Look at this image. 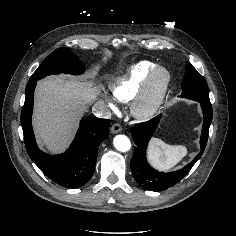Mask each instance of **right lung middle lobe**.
Segmentation results:
<instances>
[{"label": "right lung middle lobe", "mask_w": 236, "mask_h": 236, "mask_svg": "<svg viewBox=\"0 0 236 236\" xmlns=\"http://www.w3.org/2000/svg\"><path fill=\"white\" fill-rule=\"evenodd\" d=\"M83 71V65L69 49L58 48L37 68L29 79L28 84L36 82L50 74H80Z\"/></svg>", "instance_id": "right-lung-middle-lobe-1"}]
</instances>
